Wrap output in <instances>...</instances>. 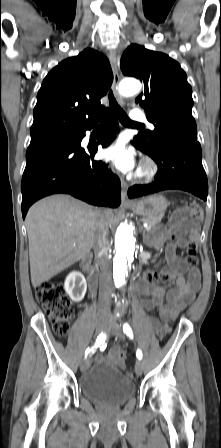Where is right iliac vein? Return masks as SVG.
Instances as JSON below:
<instances>
[{"label":"right iliac vein","instance_id":"63e3f726","mask_svg":"<svg viewBox=\"0 0 221 448\" xmlns=\"http://www.w3.org/2000/svg\"><path fill=\"white\" fill-rule=\"evenodd\" d=\"M105 330V322L103 320H98L96 323V330L95 334L96 336L100 335ZM90 366V358L86 357L82 360L80 364V370L81 372H85Z\"/></svg>","mask_w":221,"mask_h":448}]
</instances>
